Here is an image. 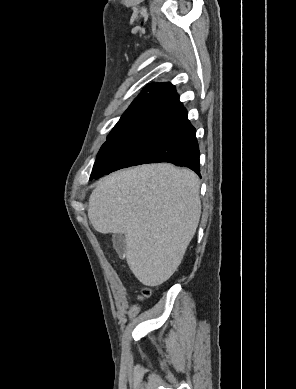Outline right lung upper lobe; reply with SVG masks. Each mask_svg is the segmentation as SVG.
I'll return each instance as SVG.
<instances>
[{
  "mask_svg": "<svg viewBox=\"0 0 296 389\" xmlns=\"http://www.w3.org/2000/svg\"><path fill=\"white\" fill-rule=\"evenodd\" d=\"M140 116H159L181 121L187 117V111L171 83H158L147 86L120 120Z\"/></svg>",
  "mask_w": 296,
  "mask_h": 389,
  "instance_id": "obj_1",
  "label": "right lung upper lobe"
}]
</instances>
